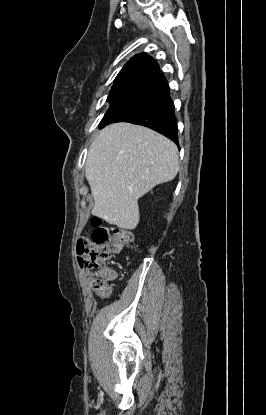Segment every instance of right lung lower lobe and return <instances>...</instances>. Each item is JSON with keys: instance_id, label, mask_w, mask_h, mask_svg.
<instances>
[{"instance_id": "98d812e1", "label": "right lung lower lobe", "mask_w": 266, "mask_h": 415, "mask_svg": "<svg viewBox=\"0 0 266 415\" xmlns=\"http://www.w3.org/2000/svg\"><path fill=\"white\" fill-rule=\"evenodd\" d=\"M115 122H129L146 126L178 144L177 120L167 84L141 101L116 113L104 126Z\"/></svg>"}]
</instances>
